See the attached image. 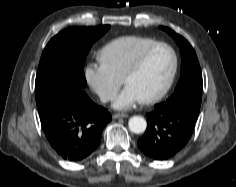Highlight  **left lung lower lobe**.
<instances>
[{"label": "left lung lower lobe", "mask_w": 236, "mask_h": 187, "mask_svg": "<svg viewBox=\"0 0 236 187\" xmlns=\"http://www.w3.org/2000/svg\"><path fill=\"white\" fill-rule=\"evenodd\" d=\"M199 111L187 106H154L147 114V129L138 147L149 158L166 160L173 157L189 141Z\"/></svg>", "instance_id": "obj_1"}]
</instances>
